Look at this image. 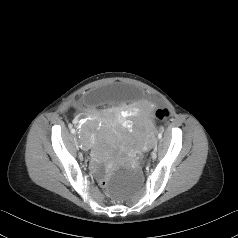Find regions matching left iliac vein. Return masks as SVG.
<instances>
[{"label":"left iliac vein","instance_id":"left-iliac-vein-1","mask_svg":"<svg viewBox=\"0 0 238 238\" xmlns=\"http://www.w3.org/2000/svg\"><path fill=\"white\" fill-rule=\"evenodd\" d=\"M158 150V144L155 146L153 153H152V158H156V151Z\"/></svg>","mask_w":238,"mask_h":238}]
</instances>
